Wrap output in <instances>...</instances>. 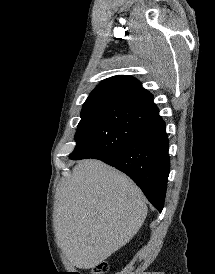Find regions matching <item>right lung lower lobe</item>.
<instances>
[{
	"instance_id": "1",
	"label": "right lung lower lobe",
	"mask_w": 215,
	"mask_h": 274,
	"mask_svg": "<svg viewBox=\"0 0 215 274\" xmlns=\"http://www.w3.org/2000/svg\"><path fill=\"white\" fill-rule=\"evenodd\" d=\"M168 149L165 123L159 116L126 146L100 160L126 173L161 212L170 171Z\"/></svg>"
}]
</instances>
